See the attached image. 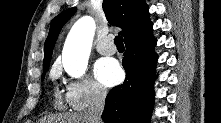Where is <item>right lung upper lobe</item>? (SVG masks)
I'll return each instance as SVG.
<instances>
[{"label":"right lung upper lobe","instance_id":"cb5924a9","mask_svg":"<svg viewBox=\"0 0 221 123\" xmlns=\"http://www.w3.org/2000/svg\"><path fill=\"white\" fill-rule=\"evenodd\" d=\"M76 10L69 8L53 19L44 44V66L50 64L59 32ZM103 10L111 25L122 28L119 34L124 37V42L139 39L152 31L149 8L144 0H103Z\"/></svg>","mask_w":221,"mask_h":123}]
</instances>
